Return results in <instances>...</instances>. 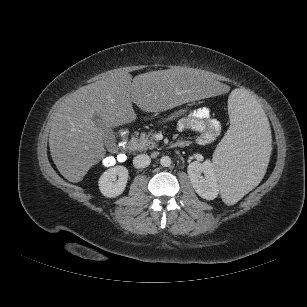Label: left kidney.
<instances>
[{
    "mask_svg": "<svg viewBox=\"0 0 307 307\" xmlns=\"http://www.w3.org/2000/svg\"><path fill=\"white\" fill-rule=\"evenodd\" d=\"M187 172L193 188L200 197L213 200L218 196V178L210 161L206 160L203 163L194 161L188 165Z\"/></svg>",
    "mask_w": 307,
    "mask_h": 307,
    "instance_id": "left-kidney-1",
    "label": "left kidney"
}]
</instances>
